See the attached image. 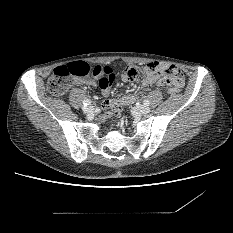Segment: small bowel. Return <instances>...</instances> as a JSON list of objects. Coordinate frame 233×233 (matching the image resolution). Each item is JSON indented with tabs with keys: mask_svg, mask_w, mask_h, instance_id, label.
Instances as JSON below:
<instances>
[{
	"mask_svg": "<svg viewBox=\"0 0 233 233\" xmlns=\"http://www.w3.org/2000/svg\"><path fill=\"white\" fill-rule=\"evenodd\" d=\"M150 71L147 76L142 81V87L147 88L151 85H157L159 87H167L169 90H174L180 87L184 83V77L181 71L175 66L168 65L161 62H153L148 64ZM165 68H169L166 75H161V72ZM117 75L112 69L110 73L99 79L98 83L89 78H83L76 80L77 84L86 85L89 87L99 86L104 96H109L111 94L112 84L115 82ZM137 96L123 92L116 98L106 99L103 103L105 108H115L122 104H131L136 100Z\"/></svg>",
	"mask_w": 233,
	"mask_h": 233,
	"instance_id": "1",
	"label": "small bowel"
}]
</instances>
